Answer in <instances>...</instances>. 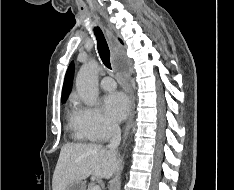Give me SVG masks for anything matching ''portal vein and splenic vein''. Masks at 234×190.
<instances>
[{
    "label": "portal vein and splenic vein",
    "instance_id": "1",
    "mask_svg": "<svg viewBox=\"0 0 234 190\" xmlns=\"http://www.w3.org/2000/svg\"><path fill=\"white\" fill-rule=\"evenodd\" d=\"M92 190H101L100 186L99 185H94L92 187Z\"/></svg>",
    "mask_w": 234,
    "mask_h": 190
}]
</instances>
